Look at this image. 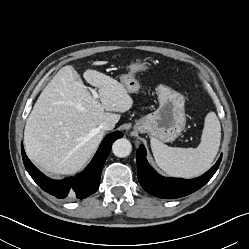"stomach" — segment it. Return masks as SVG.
Listing matches in <instances>:
<instances>
[{
	"mask_svg": "<svg viewBox=\"0 0 249 249\" xmlns=\"http://www.w3.org/2000/svg\"><path fill=\"white\" fill-rule=\"evenodd\" d=\"M148 68L149 64L141 60L133 61L127 66L128 73L121 76V83L128 93L139 90L140 84L135 75ZM156 93L159 101L158 109L137 120L134 130L148 133L151 138L162 142H171L185 128V100L179 92L165 85H158Z\"/></svg>",
	"mask_w": 249,
	"mask_h": 249,
	"instance_id": "stomach-1",
	"label": "stomach"
}]
</instances>
